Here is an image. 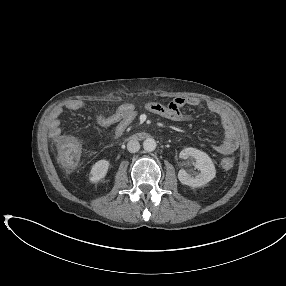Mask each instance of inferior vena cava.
I'll list each match as a JSON object with an SVG mask.
<instances>
[{
  "label": "inferior vena cava",
  "mask_w": 286,
  "mask_h": 286,
  "mask_svg": "<svg viewBox=\"0 0 286 286\" xmlns=\"http://www.w3.org/2000/svg\"><path fill=\"white\" fill-rule=\"evenodd\" d=\"M139 149H140V143L137 140L132 139L127 143V150L130 153H136L139 151Z\"/></svg>",
  "instance_id": "1"
}]
</instances>
